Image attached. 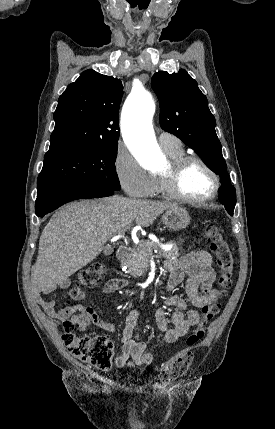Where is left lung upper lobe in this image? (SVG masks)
Masks as SVG:
<instances>
[{
  "label": "left lung upper lobe",
  "instance_id": "left-lung-upper-lobe-1",
  "mask_svg": "<svg viewBox=\"0 0 275 429\" xmlns=\"http://www.w3.org/2000/svg\"><path fill=\"white\" fill-rule=\"evenodd\" d=\"M152 88L160 100L162 129L192 148L220 177L227 194L219 200L233 215L235 188L230 183L221 143L215 131V118L209 110L206 96L184 69L172 74L165 71L155 73Z\"/></svg>",
  "mask_w": 275,
  "mask_h": 429
}]
</instances>
